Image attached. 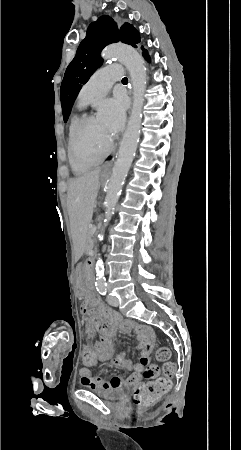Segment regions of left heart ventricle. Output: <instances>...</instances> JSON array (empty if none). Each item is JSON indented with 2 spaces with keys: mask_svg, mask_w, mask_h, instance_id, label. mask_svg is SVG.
<instances>
[{
  "mask_svg": "<svg viewBox=\"0 0 241 450\" xmlns=\"http://www.w3.org/2000/svg\"><path fill=\"white\" fill-rule=\"evenodd\" d=\"M80 140L76 142V150L81 157V164L86 169H95L96 161L107 156L113 142L110 127L97 115H92L90 121H84L81 127Z\"/></svg>",
  "mask_w": 241,
  "mask_h": 450,
  "instance_id": "b2bd125f",
  "label": "left heart ventricle"
}]
</instances>
